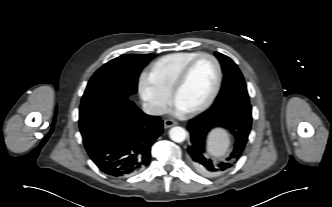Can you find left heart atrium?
Listing matches in <instances>:
<instances>
[{
    "label": "left heart atrium",
    "instance_id": "1",
    "mask_svg": "<svg viewBox=\"0 0 332 207\" xmlns=\"http://www.w3.org/2000/svg\"><path fill=\"white\" fill-rule=\"evenodd\" d=\"M174 109H175V112H176L177 114H184V113H186V111H185L184 109H182L181 107H179V106L176 105V104H175Z\"/></svg>",
    "mask_w": 332,
    "mask_h": 207
}]
</instances>
